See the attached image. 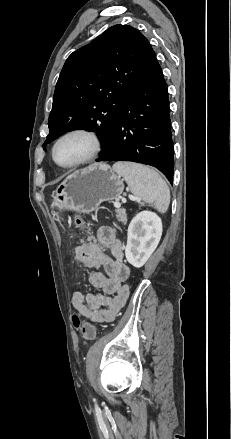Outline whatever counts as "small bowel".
<instances>
[{"mask_svg":"<svg viewBox=\"0 0 231 439\" xmlns=\"http://www.w3.org/2000/svg\"><path fill=\"white\" fill-rule=\"evenodd\" d=\"M86 258L81 264L87 269L102 268L89 274V282L101 292L72 295V306L80 315L92 322H111L125 305L129 297V288L125 281L129 278L130 268L124 259V249L115 231L109 226L97 230L95 238H89L76 249V257Z\"/></svg>","mask_w":231,"mask_h":439,"instance_id":"1","label":"small bowel"}]
</instances>
